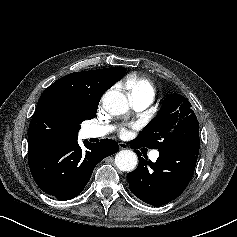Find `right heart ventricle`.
Segmentation results:
<instances>
[{
    "label": "right heart ventricle",
    "mask_w": 237,
    "mask_h": 237,
    "mask_svg": "<svg viewBox=\"0 0 237 237\" xmlns=\"http://www.w3.org/2000/svg\"><path fill=\"white\" fill-rule=\"evenodd\" d=\"M125 86L129 90V96L132 102L148 99L151 102L156 96V87L148 79L142 77H130L127 79Z\"/></svg>",
    "instance_id": "1"
}]
</instances>
